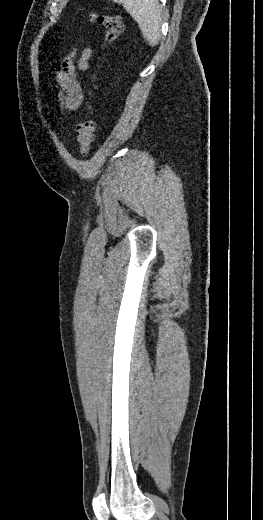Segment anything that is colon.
<instances>
[{"label": "colon", "instance_id": "5ec220e1", "mask_svg": "<svg viewBox=\"0 0 263 520\" xmlns=\"http://www.w3.org/2000/svg\"><path fill=\"white\" fill-rule=\"evenodd\" d=\"M91 22L105 29V42L107 45L115 43L124 32V24L121 16L92 11L89 14ZM95 124L91 119H84L77 124V139L79 152L87 155L94 141Z\"/></svg>", "mask_w": 263, "mask_h": 520}]
</instances>
